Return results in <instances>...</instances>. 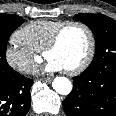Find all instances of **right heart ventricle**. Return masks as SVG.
Listing matches in <instances>:
<instances>
[{
    "label": "right heart ventricle",
    "mask_w": 116,
    "mask_h": 116,
    "mask_svg": "<svg viewBox=\"0 0 116 116\" xmlns=\"http://www.w3.org/2000/svg\"><path fill=\"white\" fill-rule=\"evenodd\" d=\"M63 23L65 21L36 20L23 26L16 34L32 51H43L50 42L54 32Z\"/></svg>",
    "instance_id": "1"
}]
</instances>
